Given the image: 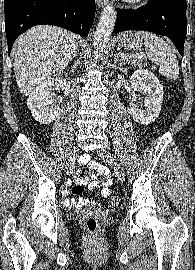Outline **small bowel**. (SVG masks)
I'll return each mask as SVG.
<instances>
[{
	"label": "small bowel",
	"instance_id": "c3829d8e",
	"mask_svg": "<svg viewBox=\"0 0 195 270\" xmlns=\"http://www.w3.org/2000/svg\"><path fill=\"white\" fill-rule=\"evenodd\" d=\"M83 164H86L87 167L94 171V174H90L86 177H77L76 185L72 188V193L75 195H79L83 192L84 187H88L89 189H97L99 190V194L102 197H108L110 195L109 187L112 184L110 170L103 164L89 160L88 156H83L81 159ZM98 176L104 178L103 181L98 180ZM65 203L69 206H77V205H88L95 204V201L85 200L81 197H71L66 198Z\"/></svg>",
	"mask_w": 195,
	"mask_h": 270
}]
</instances>
